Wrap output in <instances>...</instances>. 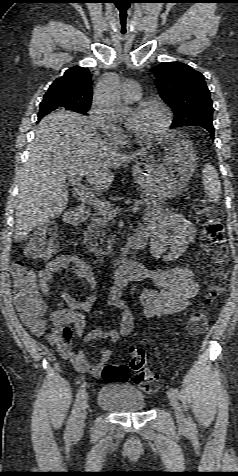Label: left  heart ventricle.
<instances>
[{"label":"left heart ventricle","mask_w":238,"mask_h":476,"mask_svg":"<svg viewBox=\"0 0 238 476\" xmlns=\"http://www.w3.org/2000/svg\"><path fill=\"white\" fill-rule=\"evenodd\" d=\"M126 121L131 130L138 136H146L156 130L163 122V114L156 107H146L131 111Z\"/></svg>","instance_id":"1"}]
</instances>
